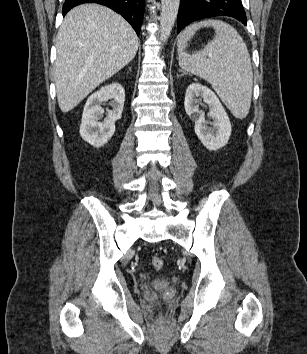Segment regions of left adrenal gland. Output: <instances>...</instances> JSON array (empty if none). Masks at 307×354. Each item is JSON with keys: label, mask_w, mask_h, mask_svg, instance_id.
I'll return each instance as SVG.
<instances>
[{"label": "left adrenal gland", "mask_w": 307, "mask_h": 354, "mask_svg": "<svg viewBox=\"0 0 307 354\" xmlns=\"http://www.w3.org/2000/svg\"><path fill=\"white\" fill-rule=\"evenodd\" d=\"M179 72H181L180 77H182V76H184V75L187 74L186 72H184V71H182V70H179Z\"/></svg>", "instance_id": "left-adrenal-gland-1"}]
</instances>
